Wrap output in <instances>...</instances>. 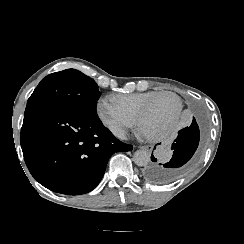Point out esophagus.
<instances>
[{
	"label": "esophagus",
	"instance_id": "obj_1",
	"mask_svg": "<svg viewBox=\"0 0 244 244\" xmlns=\"http://www.w3.org/2000/svg\"><path fill=\"white\" fill-rule=\"evenodd\" d=\"M139 148L151 152L153 150V145L140 146Z\"/></svg>",
	"mask_w": 244,
	"mask_h": 244
}]
</instances>
